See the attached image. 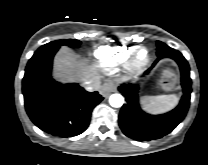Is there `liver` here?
I'll use <instances>...</instances> for the list:
<instances>
[{
    "mask_svg": "<svg viewBox=\"0 0 208 165\" xmlns=\"http://www.w3.org/2000/svg\"><path fill=\"white\" fill-rule=\"evenodd\" d=\"M56 76L64 80H87L93 77H98L97 71L91 66L78 61L71 51L64 47L60 50L55 58Z\"/></svg>",
    "mask_w": 208,
    "mask_h": 165,
    "instance_id": "1",
    "label": "liver"
}]
</instances>
